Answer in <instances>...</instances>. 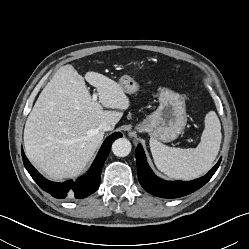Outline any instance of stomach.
I'll use <instances>...</instances> for the list:
<instances>
[{"mask_svg": "<svg viewBox=\"0 0 249 249\" xmlns=\"http://www.w3.org/2000/svg\"><path fill=\"white\" fill-rule=\"evenodd\" d=\"M142 67L138 62L133 65L134 70ZM119 81L126 93L132 94L139 88L137 82L129 75L122 76ZM158 92L159 107L136 128L141 132H148L154 139L170 142L181 134L187 124L185 99L168 88L160 87Z\"/></svg>", "mask_w": 249, "mask_h": 249, "instance_id": "obj_1", "label": "stomach"}]
</instances>
